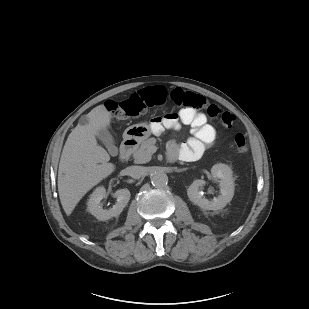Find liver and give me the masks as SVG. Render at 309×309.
Masks as SVG:
<instances>
[{
	"label": "liver",
	"mask_w": 309,
	"mask_h": 309,
	"mask_svg": "<svg viewBox=\"0 0 309 309\" xmlns=\"http://www.w3.org/2000/svg\"><path fill=\"white\" fill-rule=\"evenodd\" d=\"M111 113L104 105L93 108L69 134L58 169V192L66 215H71L82 197L112 174L107 151L97 143L96 135L107 129Z\"/></svg>",
	"instance_id": "obj_1"
}]
</instances>
